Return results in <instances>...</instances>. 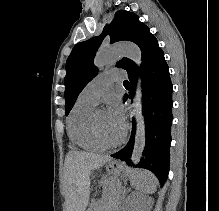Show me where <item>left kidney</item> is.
I'll return each mask as SVG.
<instances>
[{
	"label": "left kidney",
	"mask_w": 219,
	"mask_h": 211,
	"mask_svg": "<svg viewBox=\"0 0 219 211\" xmlns=\"http://www.w3.org/2000/svg\"><path fill=\"white\" fill-rule=\"evenodd\" d=\"M139 211H144V209H139Z\"/></svg>",
	"instance_id": "left-kidney-1"
}]
</instances>
